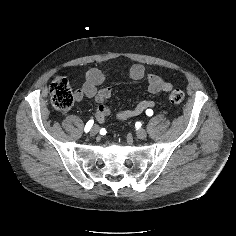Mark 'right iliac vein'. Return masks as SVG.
<instances>
[{
    "label": "right iliac vein",
    "mask_w": 236,
    "mask_h": 236,
    "mask_svg": "<svg viewBox=\"0 0 236 236\" xmlns=\"http://www.w3.org/2000/svg\"><path fill=\"white\" fill-rule=\"evenodd\" d=\"M98 131H99V128H98V126H93L92 127V129H91V131H90V135L91 136H95L97 133H98Z\"/></svg>",
    "instance_id": "right-iliac-vein-1"
}]
</instances>
